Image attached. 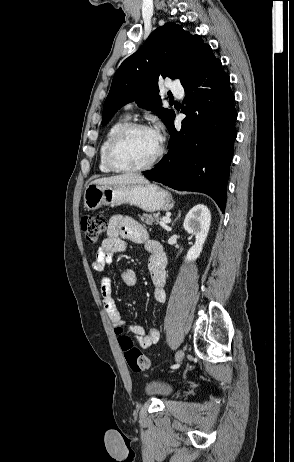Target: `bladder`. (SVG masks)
<instances>
[{
    "instance_id": "bladder-1",
    "label": "bladder",
    "mask_w": 294,
    "mask_h": 462,
    "mask_svg": "<svg viewBox=\"0 0 294 462\" xmlns=\"http://www.w3.org/2000/svg\"><path fill=\"white\" fill-rule=\"evenodd\" d=\"M143 390L146 396L159 399H166L173 392L171 385L159 379L146 382Z\"/></svg>"
}]
</instances>
